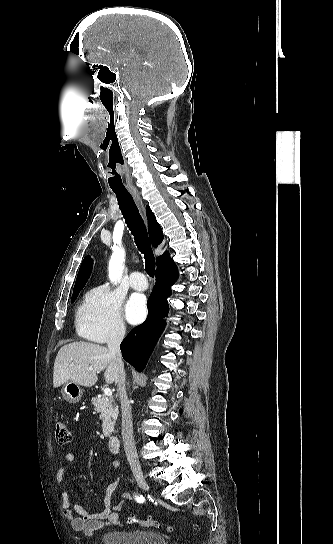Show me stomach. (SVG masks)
<instances>
[{
	"mask_svg": "<svg viewBox=\"0 0 333 544\" xmlns=\"http://www.w3.org/2000/svg\"><path fill=\"white\" fill-rule=\"evenodd\" d=\"M60 392L64 400L74 404L79 402L81 399L83 390L80 385L72 381H68L64 383Z\"/></svg>",
	"mask_w": 333,
	"mask_h": 544,
	"instance_id": "1",
	"label": "stomach"
}]
</instances>
